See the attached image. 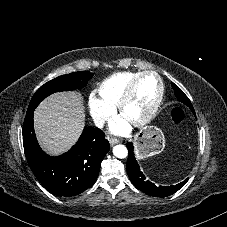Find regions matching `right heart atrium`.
Segmentation results:
<instances>
[{"label":"right heart atrium","mask_w":227,"mask_h":227,"mask_svg":"<svg viewBox=\"0 0 227 227\" xmlns=\"http://www.w3.org/2000/svg\"><path fill=\"white\" fill-rule=\"evenodd\" d=\"M89 112L94 121L98 126L106 123L113 115L114 108L96 97H90L89 102Z\"/></svg>","instance_id":"d8ad5b80"}]
</instances>
